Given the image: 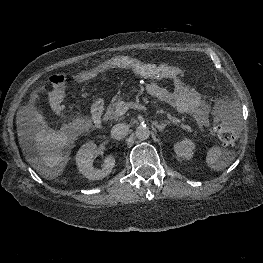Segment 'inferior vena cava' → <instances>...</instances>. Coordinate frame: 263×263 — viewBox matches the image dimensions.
<instances>
[{
	"label": "inferior vena cava",
	"mask_w": 263,
	"mask_h": 263,
	"mask_svg": "<svg viewBox=\"0 0 263 263\" xmlns=\"http://www.w3.org/2000/svg\"><path fill=\"white\" fill-rule=\"evenodd\" d=\"M129 128L124 123L116 124L111 129V136L116 140L123 139L128 134Z\"/></svg>",
	"instance_id": "inferior-vena-cava-1"
}]
</instances>
